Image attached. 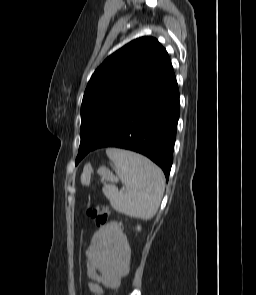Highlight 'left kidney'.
Wrapping results in <instances>:
<instances>
[{"label":"left kidney","mask_w":256,"mask_h":295,"mask_svg":"<svg viewBox=\"0 0 256 295\" xmlns=\"http://www.w3.org/2000/svg\"><path fill=\"white\" fill-rule=\"evenodd\" d=\"M137 230L140 231L141 230V227L140 226H137Z\"/></svg>","instance_id":"5707ae66"}]
</instances>
